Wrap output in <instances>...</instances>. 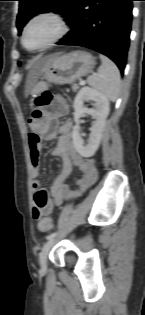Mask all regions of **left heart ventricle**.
Masks as SVG:
<instances>
[{
    "instance_id": "left-heart-ventricle-1",
    "label": "left heart ventricle",
    "mask_w": 145,
    "mask_h": 315,
    "mask_svg": "<svg viewBox=\"0 0 145 315\" xmlns=\"http://www.w3.org/2000/svg\"><path fill=\"white\" fill-rule=\"evenodd\" d=\"M56 30V25L51 20H37L27 30L26 45L30 48L38 47L48 41L55 34Z\"/></svg>"
}]
</instances>
